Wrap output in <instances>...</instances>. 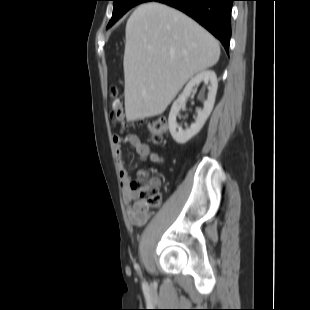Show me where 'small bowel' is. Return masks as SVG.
Listing matches in <instances>:
<instances>
[{"label": "small bowel", "instance_id": "small-bowel-1", "mask_svg": "<svg viewBox=\"0 0 310 310\" xmlns=\"http://www.w3.org/2000/svg\"><path fill=\"white\" fill-rule=\"evenodd\" d=\"M124 142L132 145L143 161L150 160L153 163L162 164L164 160L163 157L153 152L149 145L141 142L134 134H128L126 136L114 135L113 137L115 156L119 166L120 185L123 192L122 199L126 206V213L130 222L140 227L150 219L152 211L145 207L144 203L139 200L137 192L130 187L132 179L125 168V160L123 158L122 145Z\"/></svg>", "mask_w": 310, "mask_h": 310}]
</instances>
